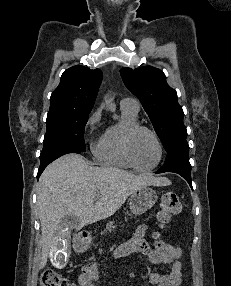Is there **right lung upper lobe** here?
Here are the masks:
<instances>
[{"instance_id":"right-lung-upper-lobe-1","label":"right lung upper lobe","mask_w":231,"mask_h":286,"mask_svg":"<svg viewBox=\"0 0 231 286\" xmlns=\"http://www.w3.org/2000/svg\"><path fill=\"white\" fill-rule=\"evenodd\" d=\"M101 70L73 66L61 76L50 98V109L91 110L101 84Z\"/></svg>"}]
</instances>
